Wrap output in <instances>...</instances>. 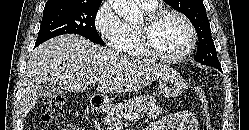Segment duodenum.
I'll return each mask as SVG.
<instances>
[{"label":"duodenum","mask_w":249,"mask_h":130,"mask_svg":"<svg viewBox=\"0 0 249 130\" xmlns=\"http://www.w3.org/2000/svg\"><path fill=\"white\" fill-rule=\"evenodd\" d=\"M90 105L92 110L95 112H101L102 111V99L98 96H94L90 100Z\"/></svg>","instance_id":"1"}]
</instances>
